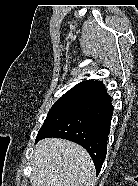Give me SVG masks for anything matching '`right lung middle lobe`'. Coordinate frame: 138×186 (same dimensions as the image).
I'll return each instance as SVG.
<instances>
[{
    "instance_id": "right-lung-middle-lobe-1",
    "label": "right lung middle lobe",
    "mask_w": 138,
    "mask_h": 186,
    "mask_svg": "<svg viewBox=\"0 0 138 186\" xmlns=\"http://www.w3.org/2000/svg\"><path fill=\"white\" fill-rule=\"evenodd\" d=\"M93 92L87 89L72 88L65 93L50 109L44 124L40 128L36 142L57 123L66 118L69 114L88 103Z\"/></svg>"
}]
</instances>
